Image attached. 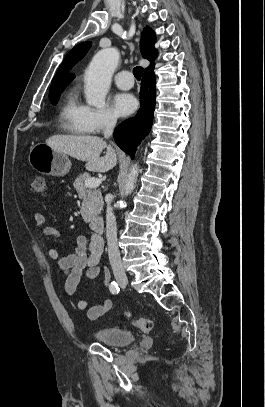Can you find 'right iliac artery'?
I'll return each instance as SVG.
<instances>
[{
    "instance_id": "right-iliac-artery-1",
    "label": "right iliac artery",
    "mask_w": 265,
    "mask_h": 407,
    "mask_svg": "<svg viewBox=\"0 0 265 407\" xmlns=\"http://www.w3.org/2000/svg\"><path fill=\"white\" fill-rule=\"evenodd\" d=\"M109 289L112 294H118L120 291V287L115 281L110 284Z\"/></svg>"
}]
</instances>
